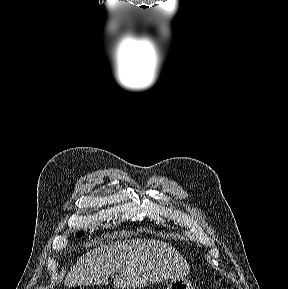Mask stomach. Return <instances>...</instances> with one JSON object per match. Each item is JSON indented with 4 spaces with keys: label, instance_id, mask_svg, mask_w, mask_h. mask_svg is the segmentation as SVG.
I'll return each mask as SVG.
<instances>
[{
    "label": "stomach",
    "instance_id": "1",
    "mask_svg": "<svg viewBox=\"0 0 288 289\" xmlns=\"http://www.w3.org/2000/svg\"><path fill=\"white\" fill-rule=\"evenodd\" d=\"M166 289H193V286L187 278L178 276L170 279Z\"/></svg>",
    "mask_w": 288,
    "mask_h": 289
}]
</instances>
